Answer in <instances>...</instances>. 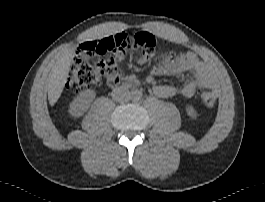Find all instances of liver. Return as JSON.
Wrapping results in <instances>:
<instances>
[{
	"mask_svg": "<svg viewBox=\"0 0 265 202\" xmlns=\"http://www.w3.org/2000/svg\"><path fill=\"white\" fill-rule=\"evenodd\" d=\"M76 48L73 47L62 54L51 70L48 80V100L53 106L60 98L70 71L71 60L75 56Z\"/></svg>",
	"mask_w": 265,
	"mask_h": 202,
	"instance_id": "1",
	"label": "liver"
}]
</instances>
